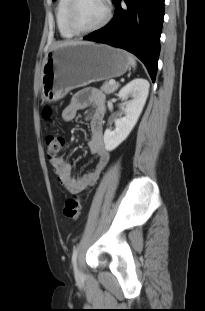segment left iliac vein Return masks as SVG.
<instances>
[{
	"label": "left iliac vein",
	"mask_w": 205,
	"mask_h": 311,
	"mask_svg": "<svg viewBox=\"0 0 205 311\" xmlns=\"http://www.w3.org/2000/svg\"><path fill=\"white\" fill-rule=\"evenodd\" d=\"M80 270L78 268H76V276L79 277L80 276Z\"/></svg>",
	"instance_id": "1"
}]
</instances>
